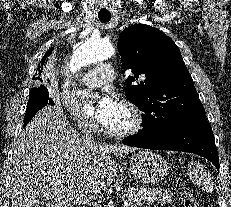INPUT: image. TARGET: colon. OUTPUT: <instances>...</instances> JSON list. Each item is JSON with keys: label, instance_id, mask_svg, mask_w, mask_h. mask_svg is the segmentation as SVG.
<instances>
[{"label": "colon", "instance_id": "obj_1", "mask_svg": "<svg viewBox=\"0 0 231 207\" xmlns=\"http://www.w3.org/2000/svg\"><path fill=\"white\" fill-rule=\"evenodd\" d=\"M182 198L183 207H202L200 202L189 191H184Z\"/></svg>", "mask_w": 231, "mask_h": 207}]
</instances>
